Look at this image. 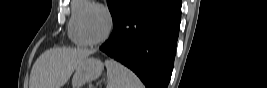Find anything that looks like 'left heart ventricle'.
I'll use <instances>...</instances> for the list:
<instances>
[{
	"label": "left heart ventricle",
	"instance_id": "1",
	"mask_svg": "<svg viewBox=\"0 0 267 88\" xmlns=\"http://www.w3.org/2000/svg\"><path fill=\"white\" fill-rule=\"evenodd\" d=\"M86 36L91 41L99 40L106 31L107 21L104 13L98 9H91L83 21Z\"/></svg>",
	"mask_w": 267,
	"mask_h": 88
}]
</instances>
